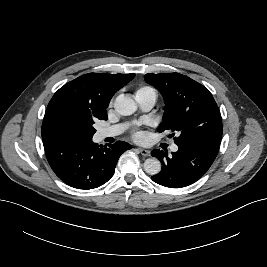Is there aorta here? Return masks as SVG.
<instances>
[{
  "mask_svg": "<svg viewBox=\"0 0 267 267\" xmlns=\"http://www.w3.org/2000/svg\"><path fill=\"white\" fill-rule=\"evenodd\" d=\"M114 108L120 115L129 116L137 110V105L131 97L119 95L115 99ZM144 170L150 175H156L161 171V162L157 158H148L144 162Z\"/></svg>",
  "mask_w": 267,
  "mask_h": 267,
  "instance_id": "aorta-1",
  "label": "aorta"
}]
</instances>
